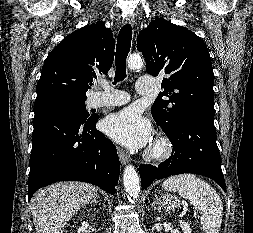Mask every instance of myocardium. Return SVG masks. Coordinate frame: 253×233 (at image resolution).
<instances>
[{"label":"myocardium","instance_id":"myocardium-1","mask_svg":"<svg viewBox=\"0 0 253 233\" xmlns=\"http://www.w3.org/2000/svg\"><path fill=\"white\" fill-rule=\"evenodd\" d=\"M174 154V144L167 135L158 136L147 152V158L153 161L169 159Z\"/></svg>","mask_w":253,"mask_h":233}]
</instances>
